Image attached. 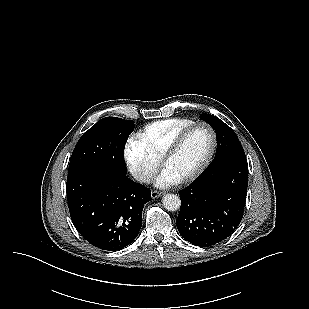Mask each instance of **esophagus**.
Masks as SVG:
<instances>
[{"mask_svg":"<svg viewBox=\"0 0 309 309\" xmlns=\"http://www.w3.org/2000/svg\"><path fill=\"white\" fill-rule=\"evenodd\" d=\"M162 194H163L162 192L153 190V191L151 192V197H152L153 199H155V198L160 197Z\"/></svg>","mask_w":309,"mask_h":309,"instance_id":"obj_1","label":"esophagus"}]
</instances>
